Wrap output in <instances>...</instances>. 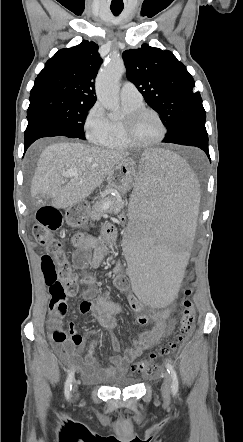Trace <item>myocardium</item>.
Wrapping results in <instances>:
<instances>
[{"label":"myocardium","mask_w":243,"mask_h":442,"mask_svg":"<svg viewBox=\"0 0 243 442\" xmlns=\"http://www.w3.org/2000/svg\"><path fill=\"white\" fill-rule=\"evenodd\" d=\"M147 113L153 114L157 118V120L161 126V134H160L159 138L153 142L140 143L134 139L133 132H134V128H135V125H136L138 119ZM122 130H123V136H124L126 143L130 147L140 148V149H147V148L156 147L157 145H159L160 143L163 142V140L165 139V137L167 135V126H166L165 121H164L163 117L161 116V114L153 108L144 107V106L140 107L134 111H131L125 115V117L123 119V123H122Z\"/></svg>","instance_id":"obj_1"}]
</instances>
